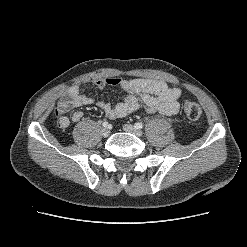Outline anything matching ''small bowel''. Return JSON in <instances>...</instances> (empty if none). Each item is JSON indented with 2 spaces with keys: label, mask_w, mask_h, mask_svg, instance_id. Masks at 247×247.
I'll return each mask as SVG.
<instances>
[{
  "label": "small bowel",
  "mask_w": 247,
  "mask_h": 247,
  "mask_svg": "<svg viewBox=\"0 0 247 247\" xmlns=\"http://www.w3.org/2000/svg\"><path fill=\"white\" fill-rule=\"evenodd\" d=\"M94 85L99 89L108 86H116L126 92V96L115 105H111L103 100L89 97L85 94L88 87L73 85L60 97L56 106L57 123L60 127H67L70 122L81 120L83 113L75 111L69 118L66 113L70 110L86 105H95L104 114L111 118H122L135 111L141 105L148 113H159L166 116L175 115L179 111L178 99L181 90L177 85H170L161 80L134 78L122 79L117 77L98 79Z\"/></svg>",
  "instance_id": "c3829d8e"
}]
</instances>
